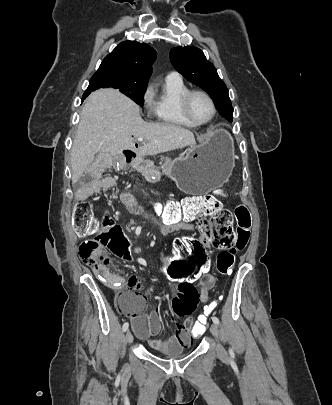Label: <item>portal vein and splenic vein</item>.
<instances>
[{
    "label": "portal vein and splenic vein",
    "mask_w": 332,
    "mask_h": 405,
    "mask_svg": "<svg viewBox=\"0 0 332 405\" xmlns=\"http://www.w3.org/2000/svg\"><path fill=\"white\" fill-rule=\"evenodd\" d=\"M137 141H138V142H143L144 139H143L142 137H138V138H137Z\"/></svg>",
    "instance_id": "obj_1"
}]
</instances>
